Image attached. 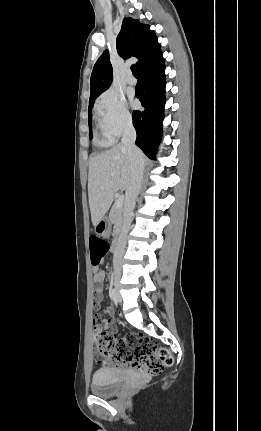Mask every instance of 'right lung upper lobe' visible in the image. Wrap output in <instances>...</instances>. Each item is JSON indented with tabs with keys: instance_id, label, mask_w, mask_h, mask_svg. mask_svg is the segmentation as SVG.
<instances>
[{
	"instance_id": "obj_1",
	"label": "right lung upper lobe",
	"mask_w": 261,
	"mask_h": 431,
	"mask_svg": "<svg viewBox=\"0 0 261 431\" xmlns=\"http://www.w3.org/2000/svg\"><path fill=\"white\" fill-rule=\"evenodd\" d=\"M118 54L123 58H138L140 68L148 60L160 52L155 33L146 24H141L131 17L123 19L121 30L116 39ZM113 69L109 53L106 50L94 65L90 79V99L98 97L107 90L112 82Z\"/></svg>"
}]
</instances>
